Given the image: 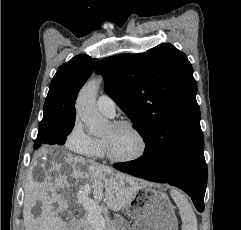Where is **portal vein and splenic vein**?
<instances>
[{
  "label": "portal vein and splenic vein",
  "instance_id": "18ae733b",
  "mask_svg": "<svg viewBox=\"0 0 241 230\" xmlns=\"http://www.w3.org/2000/svg\"><path fill=\"white\" fill-rule=\"evenodd\" d=\"M90 188H84L77 194L78 203L82 204L84 209L89 213V221L100 228L105 226L104 218L101 215L100 207L98 202L92 200L88 197V193L90 192Z\"/></svg>",
  "mask_w": 241,
  "mask_h": 230
}]
</instances>
